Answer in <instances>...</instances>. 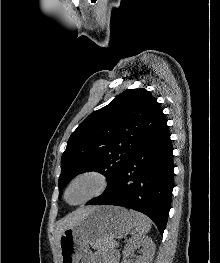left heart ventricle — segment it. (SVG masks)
<instances>
[{
  "label": "left heart ventricle",
  "instance_id": "left-heart-ventricle-1",
  "mask_svg": "<svg viewBox=\"0 0 220 263\" xmlns=\"http://www.w3.org/2000/svg\"><path fill=\"white\" fill-rule=\"evenodd\" d=\"M95 187V183L91 179H84L79 181L70 191L69 200L77 201L88 195Z\"/></svg>",
  "mask_w": 220,
  "mask_h": 263
}]
</instances>
